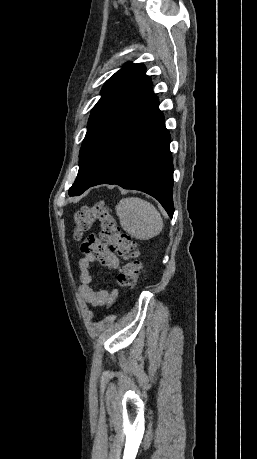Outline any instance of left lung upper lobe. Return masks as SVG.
Instances as JSON below:
<instances>
[{"mask_svg":"<svg viewBox=\"0 0 257 459\" xmlns=\"http://www.w3.org/2000/svg\"><path fill=\"white\" fill-rule=\"evenodd\" d=\"M151 84L141 63L125 64L111 76L101 90L102 97L93 107L86 136L79 153V171L69 189L70 196L82 194L94 181L102 158L103 140L108 131L131 109Z\"/></svg>","mask_w":257,"mask_h":459,"instance_id":"left-lung-upper-lobe-1","label":"left lung upper lobe"}]
</instances>
